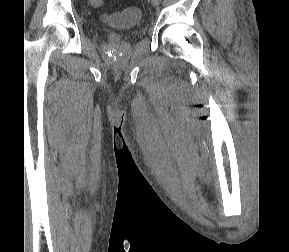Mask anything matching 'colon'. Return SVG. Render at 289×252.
Wrapping results in <instances>:
<instances>
[{
  "mask_svg": "<svg viewBox=\"0 0 289 252\" xmlns=\"http://www.w3.org/2000/svg\"><path fill=\"white\" fill-rule=\"evenodd\" d=\"M91 3L94 7H102L103 0H91ZM140 11L136 7H127L123 10L122 13L113 14L106 17V21L117 27L127 26L132 23L139 21L140 19Z\"/></svg>",
  "mask_w": 289,
  "mask_h": 252,
  "instance_id": "obj_1",
  "label": "colon"
}]
</instances>
